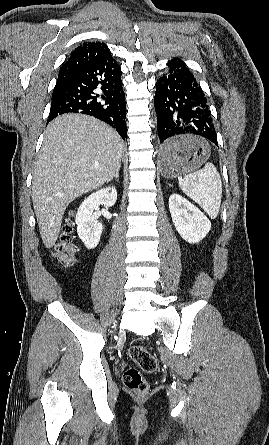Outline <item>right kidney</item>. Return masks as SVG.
<instances>
[{"label": "right kidney", "instance_id": "right-kidney-1", "mask_svg": "<svg viewBox=\"0 0 269 445\" xmlns=\"http://www.w3.org/2000/svg\"><path fill=\"white\" fill-rule=\"evenodd\" d=\"M116 200V189L106 187L89 195L80 205L76 214L77 233L87 249H94L98 245L103 228L93 211L99 205L111 207Z\"/></svg>", "mask_w": 269, "mask_h": 445}]
</instances>
